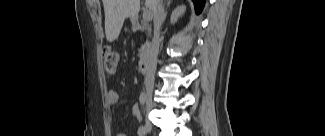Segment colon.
Listing matches in <instances>:
<instances>
[{"mask_svg": "<svg viewBox=\"0 0 325 136\" xmlns=\"http://www.w3.org/2000/svg\"><path fill=\"white\" fill-rule=\"evenodd\" d=\"M102 56L105 71L108 74H114L117 71L120 62L119 52L116 49L107 46L104 47Z\"/></svg>", "mask_w": 325, "mask_h": 136, "instance_id": "5ec220e1", "label": "colon"}]
</instances>
